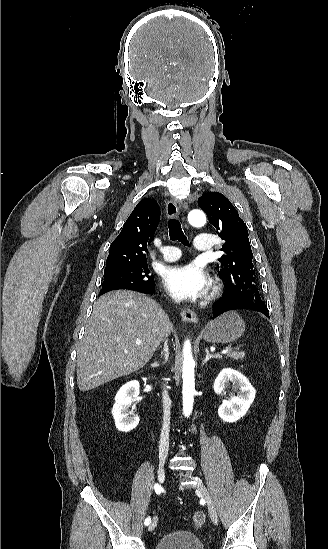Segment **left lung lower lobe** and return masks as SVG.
I'll list each match as a JSON object with an SVG mask.
<instances>
[{
	"instance_id": "0a47b994",
	"label": "left lung lower lobe",
	"mask_w": 328,
	"mask_h": 549,
	"mask_svg": "<svg viewBox=\"0 0 328 549\" xmlns=\"http://www.w3.org/2000/svg\"><path fill=\"white\" fill-rule=\"evenodd\" d=\"M236 309L254 310L263 313L269 317L268 309L265 303L258 299H250L245 296L223 295L222 298L213 306V318Z\"/></svg>"
}]
</instances>
